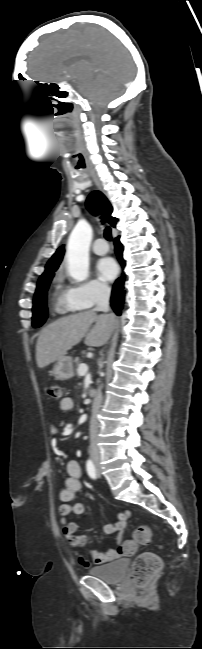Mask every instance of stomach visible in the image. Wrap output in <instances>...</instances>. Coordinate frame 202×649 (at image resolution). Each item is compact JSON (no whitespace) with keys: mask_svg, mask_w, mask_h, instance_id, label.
<instances>
[{"mask_svg":"<svg viewBox=\"0 0 202 649\" xmlns=\"http://www.w3.org/2000/svg\"><path fill=\"white\" fill-rule=\"evenodd\" d=\"M52 374L56 380L64 381L74 376V360L71 356H63L57 360Z\"/></svg>","mask_w":202,"mask_h":649,"instance_id":"1","label":"stomach"}]
</instances>
